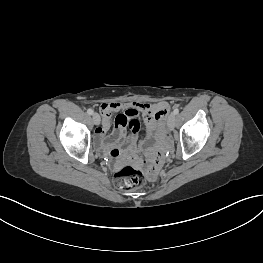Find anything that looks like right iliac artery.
Listing matches in <instances>:
<instances>
[{"label":"right iliac artery","mask_w":263,"mask_h":263,"mask_svg":"<svg viewBox=\"0 0 263 263\" xmlns=\"http://www.w3.org/2000/svg\"><path fill=\"white\" fill-rule=\"evenodd\" d=\"M87 113H88L89 115H92V114H93V110H92V109H88V110H87Z\"/></svg>","instance_id":"82829eb1"}]
</instances>
